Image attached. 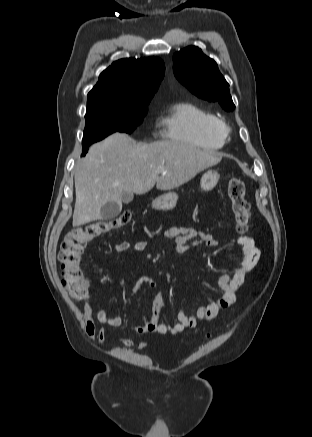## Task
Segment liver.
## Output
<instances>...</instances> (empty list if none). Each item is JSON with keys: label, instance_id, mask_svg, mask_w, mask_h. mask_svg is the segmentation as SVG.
Segmentation results:
<instances>
[{"label": "liver", "instance_id": "liver-1", "mask_svg": "<svg viewBox=\"0 0 312 437\" xmlns=\"http://www.w3.org/2000/svg\"><path fill=\"white\" fill-rule=\"evenodd\" d=\"M221 160L220 153L193 145L176 141L136 144L129 136L114 133L92 145L76 163L73 226L100 220L102 206L109 201L121 204L123 192L145 194L155 184L159 190H171Z\"/></svg>", "mask_w": 312, "mask_h": 437}]
</instances>
